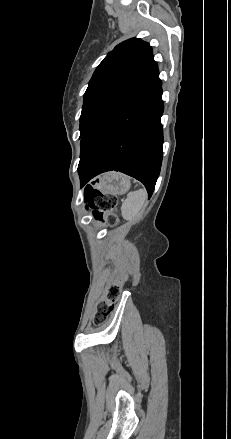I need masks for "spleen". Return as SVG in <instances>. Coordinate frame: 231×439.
Returning a JSON list of instances; mask_svg holds the SVG:
<instances>
[{"label": "spleen", "mask_w": 231, "mask_h": 439, "mask_svg": "<svg viewBox=\"0 0 231 439\" xmlns=\"http://www.w3.org/2000/svg\"><path fill=\"white\" fill-rule=\"evenodd\" d=\"M146 198L147 192L145 189H139L130 193L121 207L123 218L126 220L134 219L143 207Z\"/></svg>", "instance_id": "3e777b00"}]
</instances>
